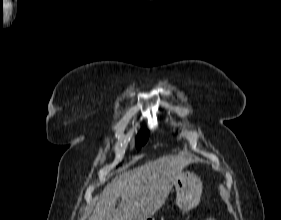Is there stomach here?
<instances>
[{
	"label": "stomach",
	"mask_w": 281,
	"mask_h": 220,
	"mask_svg": "<svg viewBox=\"0 0 281 220\" xmlns=\"http://www.w3.org/2000/svg\"><path fill=\"white\" fill-rule=\"evenodd\" d=\"M174 186L177 205L183 212H188L199 204L202 183L197 175L192 172H182L174 181Z\"/></svg>",
	"instance_id": "obj_1"
}]
</instances>
